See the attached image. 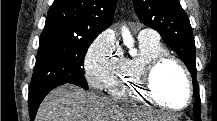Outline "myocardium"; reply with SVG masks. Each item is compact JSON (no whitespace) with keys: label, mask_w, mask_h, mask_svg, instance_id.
<instances>
[{"label":"myocardium","mask_w":217,"mask_h":121,"mask_svg":"<svg viewBox=\"0 0 217 121\" xmlns=\"http://www.w3.org/2000/svg\"><path fill=\"white\" fill-rule=\"evenodd\" d=\"M168 63L174 64L183 73L187 83L188 95L186 102L182 106H170L166 104L159 98L154 90L153 78L155 73ZM140 87L143 95L150 101L173 112H179L187 109L191 104L194 96L193 82L188 69L179 59L167 53L159 55L143 66L140 74Z\"/></svg>","instance_id":"1"}]
</instances>
